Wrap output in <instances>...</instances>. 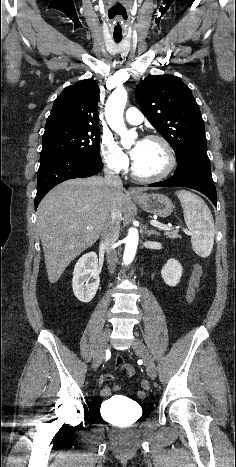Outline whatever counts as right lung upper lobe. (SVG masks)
<instances>
[{
	"label": "right lung upper lobe",
	"instance_id": "obj_1",
	"mask_svg": "<svg viewBox=\"0 0 236 467\" xmlns=\"http://www.w3.org/2000/svg\"><path fill=\"white\" fill-rule=\"evenodd\" d=\"M98 91V84L92 79L65 88L56 98L45 128L58 125L96 127Z\"/></svg>",
	"mask_w": 236,
	"mask_h": 467
}]
</instances>
